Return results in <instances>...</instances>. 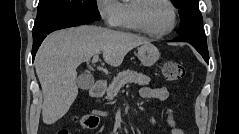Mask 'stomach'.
Listing matches in <instances>:
<instances>
[{
  "mask_svg": "<svg viewBox=\"0 0 239 134\" xmlns=\"http://www.w3.org/2000/svg\"><path fill=\"white\" fill-rule=\"evenodd\" d=\"M143 66L150 67L159 59L160 53L158 48L152 43L143 44L138 48L137 54Z\"/></svg>",
  "mask_w": 239,
  "mask_h": 134,
  "instance_id": "1",
  "label": "stomach"
}]
</instances>
